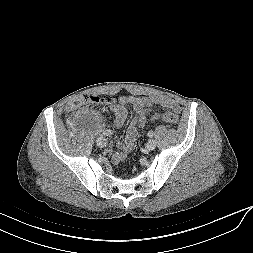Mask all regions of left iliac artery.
<instances>
[{
    "instance_id": "obj_1",
    "label": "left iliac artery",
    "mask_w": 253,
    "mask_h": 253,
    "mask_svg": "<svg viewBox=\"0 0 253 253\" xmlns=\"http://www.w3.org/2000/svg\"><path fill=\"white\" fill-rule=\"evenodd\" d=\"M148 137H153L154 136V132L151 130L147 133Z\"/></svg>"
}]
</instances>
